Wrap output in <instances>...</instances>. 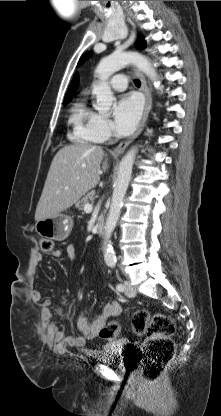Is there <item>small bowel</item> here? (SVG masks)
I'll use <instances>...</instances> for the list:
<instances>
[{
    "label": "small bowel",
    "instance_id": "obj_1",
    "mask_svg": "<svg viewBox=\"0 0 221 416\" xmlns=\"http://www.w3.org/2000/svg\"><path fill=\"white\" fill-rule=\"evenodd\" d=\"M66 252L70 260L76 259L77 254L74 245L69 244L66 247ZM52 256L60 258L62 257V252L56 249L52 252ZM41 262L42 255L37 251L34 252L29 266L30 275H34L36 273L37 267ZM34 298L37 302L42 304V318L49 324L50 333L52 334L54 340L59 344H66L73 347L82 346L86 340L97 337L100 329L106 324L107 320L117 317L121 313V305L117 301H109L104 305L102 312L92 321H89L84 314H80L76 322L79 336H68L63 331L59 330L51 321L53 312L64 315V311L61 308L53 310L51 308V301L49 299H43L39 292H35Z\"/></svg>",
    "mask_w": 221,
    "mask_h": 416
}]
</instances>
